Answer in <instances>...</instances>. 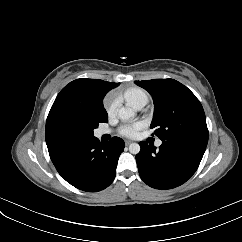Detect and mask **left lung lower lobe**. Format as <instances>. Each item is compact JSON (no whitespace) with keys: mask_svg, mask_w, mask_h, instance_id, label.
Returning <instances> with one entry per match:
<instances>
[{"mask_svg":"<svg viewBox=\"0 0 242 242\" xmlns=\"http://www.w3.org/2000/svg\"><path fill=\"white\" fill-rule=\"evenodd\" d=\"M136 161L141 179L155 189H172L185 183L197 170L206 145L169 144L157 149L141 141Z\"/></svg>","mask_w":242,"mask_h":242,"instance_id":"0a47b994","label":"left lung lower lobe"}]
</instances>
